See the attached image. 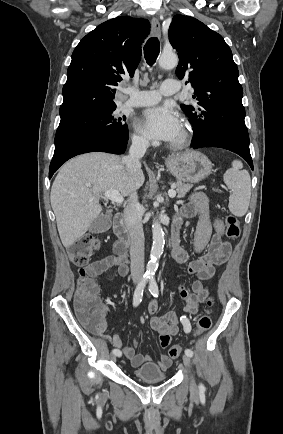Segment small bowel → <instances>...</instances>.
Segmentation results:
<instances>
[{
  "instance_id": "small-bowel-1",
  "label": "small bowel",
  "mask_w": 283,
  "mask_h": 434,
  "mask_svg": "<svg viewBox=\"0 0 283 434\" xmlns=\"http://www.w3.org/2000/svg\"><path fill=\"white\" fill-rule=\"evenodd\" d=\"M198 217L194 237V251L202 253L206 248L207 251L197 260L190 261L188 252L177 243L172 244V256L180 264H186V273L195 275L197 279L193 282L191 289H188L179 277V294L185 303L184 312L195 314L199 305L204 302L208 296L209 290L205 281L212 278L215 274V267L226 262L231 254V244L224 239V223L221 219L214 217L211 213L209 202L206 195L202 192H194L189 200L180 209L174 225L179 226L183 218ZM116 267L120 276H126L129 271L128 255L125 248L117 241L113 246V254L106 256L90 264L86 269L93 276L106 274L108 269ZM158 305L152 301L148 305V313L154 315ZM104 321L102 330L110 320L109 311L102 306ZM151 327L159 334L160 345L167 348L170 344L171 337L176 335L179 326V315L176 312H167L163 315L153 316L150 321ZM112 344L121 351V353L130 360L131 365L135 368L142 366L144 363H150L151 357L136 353V343L132 346H123L122 340L118 334H113ZM172 363V358L167 354H162L157 366L165 371Z\"/></svg>"
}]
</instances>
